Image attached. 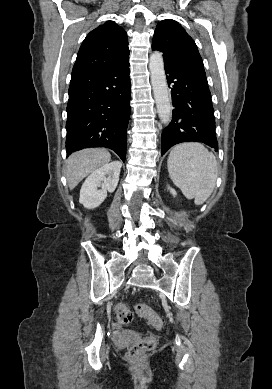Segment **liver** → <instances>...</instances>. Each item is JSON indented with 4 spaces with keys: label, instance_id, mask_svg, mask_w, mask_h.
Returning <instances> with one entry per match:
<instances>
[{
    "label": "liver",
    "instance_id": "6515ba94",
    "mask_svg": "<svg viewBox=\"0 0 272 389\" xmlns=\"http://www.w3.org/2000/svg\"><path fill=\"white\" fill-rule=\"evenodd\" d=\"M111 155L106 149L92 148L73 153L66 162V177L70 189H74L90 173L106 165Z\"/></svg>",
    "mask_w": 272,
    "mask_h": 389
}]
</instances>
